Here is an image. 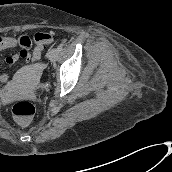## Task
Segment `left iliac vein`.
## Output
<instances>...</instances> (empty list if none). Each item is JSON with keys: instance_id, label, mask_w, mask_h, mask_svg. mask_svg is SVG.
I'll return each mask as SVG.
<instances>
[{"instance_id": "4c4485c4", "label": "left iliac vein", "mask_w": 172, "mask_h": 172, "mask_svg": "<svg viewBox=\"0 0 172 172\" xmlns=\"http://www.w3.org/2000/svg\"><path fill=\"white\" fill-rule=\"evenodd\" d=\"M57 57H58V50L56 48H51L49 50V59L51 61H56Z\"/></svg>"}]
</instances>
